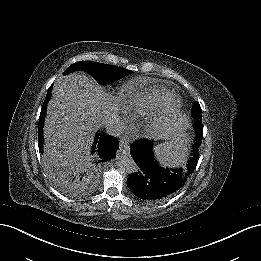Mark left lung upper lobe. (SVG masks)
<instances>
[{"instance_id":"left-lung-upper-lobe-1","label":"left lung upper lobe","mask_w":261,"mask_h":261,"mask_svg":"<svg viewBox=\"0 0 261 261\" xmlns=\"http://www.w3.org/2000/svg\"><path fill=\"white\" fill-rule=\"evenodd\" d=\"M191 113L195 116V127L197 130V134L203 135V127H202V110L198 102H194Z\"/></svg>"}]
</instances>
